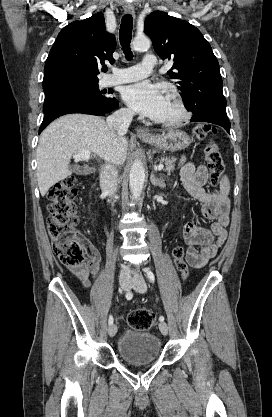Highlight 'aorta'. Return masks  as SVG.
<instances>
[{"mask_svg": "<svg viewBox=\"0 0 272 417\" xmlns=\"http://www.w3.org/2000/svg\"><path fill=\"white\" fill-rule=\"evenodd\" d=\"M151 42L146 36H137L133 40V49L135 51H147ZM145 181V170L142 162L136 159L131 166L129 175L130 192L134 199H138L142 193Z\"/></svg>", "mask_w": 272, "mask_h": 417, "instance_id": "762f6f07", "label": "aorta"}]
</instances>
